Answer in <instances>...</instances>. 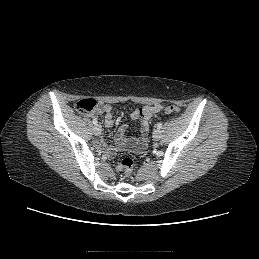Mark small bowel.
<instances>
[{
	"label": "small bowel",
	"instance_id": "1",
	"mask_svg": "<svg viewBox=\"0 0 259 259\" xmlns=\"http://www.w3.org/2000/svg\"><path fill=\"white\" fill-rule=\"evenodd\" d=\"M162 105L146 106L141 109H135L131 113V119L140 120V136L138 138H127L126 132L128 127L126 125L121 126L115 136V147H110L104 142H98V146L104 150L107 154L113 155L116 149H132L136 152H141L147 145V137L150 130V120L158 117L162 112ZM104 113V123L107 128H111L114 125L113 108L110 104H104L100 106L96 114Z\"/></svg>",
	"mask_w": 259,
	"mask_h": 259
}]
</instances>
